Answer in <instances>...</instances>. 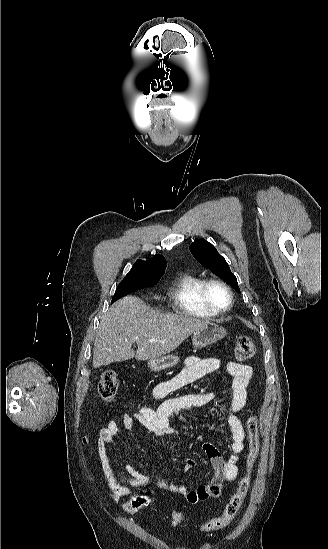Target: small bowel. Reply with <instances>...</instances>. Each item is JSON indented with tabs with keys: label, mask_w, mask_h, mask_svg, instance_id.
<instances>
[{
	"label": "small bowel",
	"mask_w": 328,
	"mask_h": 549,
	"mask_svg": "<svg viewBox=\"0 0 328 549\" xmlns=\"http://www.w3.org/2000/svg\"><path fill=\"white\" fill-rule=\"evenodd\" d=\"M222 363V360L216 357H188L184 369L179 374L154 387L152 397L156 400H163L156 409L141 407L133 414H123L121 420L126 430L133 434L135 432V422H138L147 432L153 433L162 439L179 435V431L171 425L172 418L180 412L202 408L211 404L215 401V396L212 393H189L172 398L167 397L175 391L215 372L222 366ZM225 367L233 377L232 396L225 415L232 439L231 454L225 458L215 445L209 442L203 443L202 449L210 459L214 470L211 481L195 489H189L179 484H172L169 487L172 492L179 494L190 504L220 497L224 484L234 481L238 476V462L244 450L245 431L237 413L246 404L247 388L253 375V369L249 365L231 361L227 362ZM119 436L117 421L113 419L100 431L96 445L110 490L109 496L114 502H119L122 498L131 496L132 489L145 487L150 482L147 474L136 470L128 463L121 466L112 459L109 446ZM193 466L194 461L188 456L185 457V469L190 470ZM161 484L165 485L163 481H161Z\"/></svg>",
	"instance_id": "obj_1"
}]
</instances>
